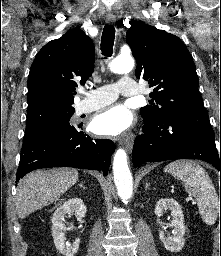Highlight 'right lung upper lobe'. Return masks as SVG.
Returning a JSON list of instances; mask_svg holds the SVG:
<instances>
[{
  "label": "right lung upper lobe",
  "mask_w": 221,
  "mask_h": 256,
  "mask_svg": "<svg viewBox=\"0 0 221 256\" xmlns=\"http://www.w3.org/2000/svg\"><path fill=\"white\" fill-rule=\"evenodd\" d=\"M94 58V44L80 29L42 47L28 76L27 113L72 107L76 87L93 73Z\"/></svg>",
  "instance_id": "1"
}]
</instances>
